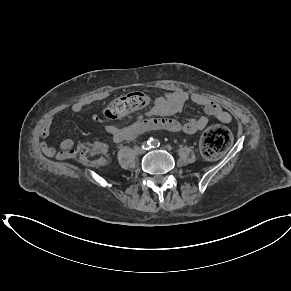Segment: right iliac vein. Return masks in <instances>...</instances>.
<instances>
[{
  "instance_id": "63e3f726",
  "label": "right iliac vein",
  "mask_w": 291,
  "mask_h": 291,
  "mask_svg": "<svg viewBox=\"0 0 291 291\" xmlns=\"http://www.w3.org/2000/svg\"><path fill=\"white\" fill-rule=\"evenodd\" d=\"M135 153L136 154H143V150L141 148H135Z\"/></svg>"
}]
</instances>
